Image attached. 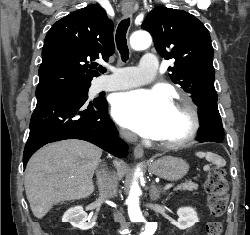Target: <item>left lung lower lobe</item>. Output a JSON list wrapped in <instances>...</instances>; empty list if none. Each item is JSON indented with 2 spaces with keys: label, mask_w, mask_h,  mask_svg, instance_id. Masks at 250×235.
Masks as SVG:
<instances>
[{
  "label": "left lung lower lobe",
  "mask_w": 250,
  "mask_h": 235,
  "mask_svg": "<svg viewBox=\"0 0 250 235\" xmlns=\"http://www.w3.org/2000/svg\"><path fill=\"white\" fill-rule=\"evenodd\" d=\"M199 119L202 122L198 130L199 142H218L223 138L222 120L218 111L217 102L211 101L199 107Z\"/></svg>",
  "instance_id": "obj_1"
}]
</instances>
